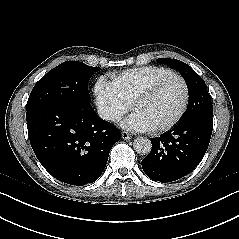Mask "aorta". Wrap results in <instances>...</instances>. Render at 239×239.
Masks as SVG:
<instances>
[{
  "label": "aorta",
  "mask_w": 239,
  "mask_h": 239,
  "mask_svg": "<svg viewBox=\"0 0 239 239\" xmlns=\"http://www.w3.org/2000/svg\"><path fill=\"white\" fill-rule=\"evenodd\" d=\"M134 150L140 155H147L151 152V140L146 137H137L133 143Z\"/></svg>",
  "instance_id": "aorta-1"
}]
</instances>
